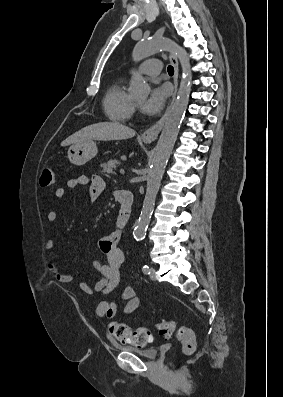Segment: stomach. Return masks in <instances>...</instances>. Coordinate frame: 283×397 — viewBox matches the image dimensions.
Returning a JSON list of instances; mask_svg holds the SVG:
<instances>
[{
	"mask_svg": "<svg viewBox=\"0 0 283 397\" xmlns=\"http://www.w3.org/2000/svg\"><path fill=\"white\" fill-rule=\"evenodd\" d=\"M148 143V141H144ZM97 154V146L93 140L73 144L68 150L69 161L77 166L84 165Z\"/></svg>",
	"mask_w": 283,
	"mask_h": 397,
	"instance_id": "0dacf381",
	"label": "stomach"
}]
</instances>
